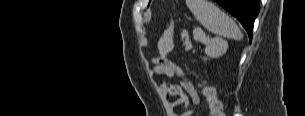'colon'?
Here are the masks:
<instances>
[{"mask_svg": "<svg viewBox=\"0 0 305 116\" xmlns=\"http://www.w3.org/2000/svg\"><path fill=\"white\" fill-rule=\"evenodd\" d=\"M203 95L207 98L210 107V116H225L223 105L215 89L204 81L198 83Z\"/></svg>", "mask_w": 305, "mask_h": 116, "instance_id": "colon-1", "label": "colon"}]
</instances>
